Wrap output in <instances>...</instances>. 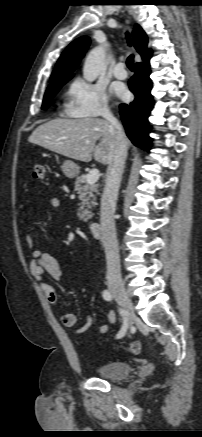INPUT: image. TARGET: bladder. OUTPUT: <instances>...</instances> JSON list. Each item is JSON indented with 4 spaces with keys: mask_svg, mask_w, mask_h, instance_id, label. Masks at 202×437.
Here are the masks:
<instances>
[{
    "mask_svg": "<svg viewBox=\"0 0 202 437\" xmlns=\"http://www.w3.org/2000/svg\"><path fill=\"white\" fill-rule=\"evenodd\" d=\"M97 375L108 380H121L128 377L132 367L125 361H108L100 364L95 369Z\"/></svg>",
    "mask_w": 202,
    "mask_h": 437,
    "instance_id": "31cf9c89",
    "label": "bladder"
}]
</instances>
